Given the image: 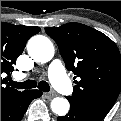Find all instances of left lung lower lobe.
Here are the masks:
<instances>
[{"label": "left lung lower lobe", "mask_w": 121, "mask_h": 121, "mask_svg": "<svg viewBox=\"0 0 121 121\" xmlns=\"http://www.w3.org/2000/svg\"><path fill=\"white\" fill-rule=\"evenodd\" d=\"M104 117L83 110L79 106L70 102V111L63 117H58V121H101Z\"/></svg>", "instance_id": "obj_1"}]
</instances>
